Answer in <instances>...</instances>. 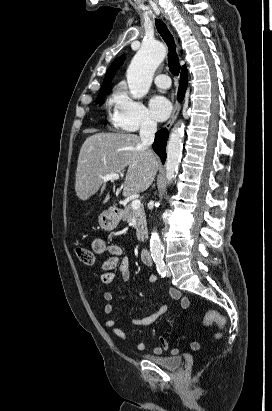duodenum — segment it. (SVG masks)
Here are the masks:
<instances>
[{
  "label": "duodenum",
  "mask_w": 272,
  "mask_h": 411,
  "mask_svg": "<svg viewBox=\"0 0 272 411\" xmlns=\"http://www.w3.org/2000/svg\"><path fill=\"white\" fill-rule=\"evenodd\" d=\"M109 210L114 214H119V212H120L119 208H117L115 206L110 207ZM140 255H141V258H142L145 265H152L153 260H152V257H151V253L148 249H143L141 251Z\"/></svg>",
  "instance_id": "obj_1"
}]
</instances>
